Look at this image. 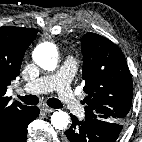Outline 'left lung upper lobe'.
<instances>
[{
	"label": "left lung upper lobe",
	"mask_w": 142,
	"mask_h": 142,
	"mask_svg": "<svg viewBox=\"0 0 142 142\" xmlns=\"http://www.w3.org/2000/svg\"><path fill=\"white\" fill-rule=\"evenodd\" d=\"M83 53L85 119L123 123L132 103L133 83L122 51L109 39L87 33Z\"/></svg>",
	"instance_id": "5c2ea615"
}]
</instances>
